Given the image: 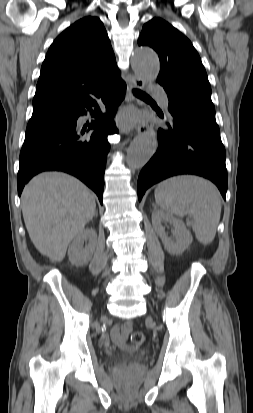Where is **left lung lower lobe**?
Here are the masks:
<instances>
[{
    "mask_svg": "<svg viewBox=\"0 0 253 413\" xmlns=\"http://www.w3.org/2000/svg\"><path fill=\"white\" fill-rule=\"evenodd\" d=\"M169 117L158 130V150L140 172L137 192L168 177L195 174L214 182L225 199L228 179L225 148L221 142L215 109L167 93Z\"/></svg>",
    "mask_w": 253,
    "mask_h": 413,
    "instance_id": "obj_1",
    "label": "left lung lower lobe"
}]
</instances>
